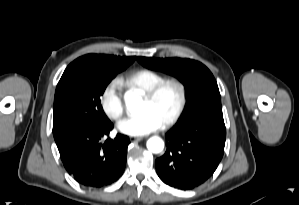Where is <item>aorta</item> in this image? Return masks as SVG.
I'll list each match as a JSON object with an SVG mask.
<instances>
[{
  "label": "aorta",
  "mask_w": 299,
  "mask_h": 205,
  "mask_svg": "<svg viewBox=\"0 0 299 205\" xmlns=\"http://www.w3.org/2000/svg\"><path fill=\"white\" fill-rule=\"evenodd\" d=\"M124 99L127 110L132 114H136L141 102L139 95L134 92H127ZM147 148L152 153H160L164 149V141L160 137L153 136L148 139Z\"/></svg>",
  "instance_id": "aorta-1"
}]
</instances>
